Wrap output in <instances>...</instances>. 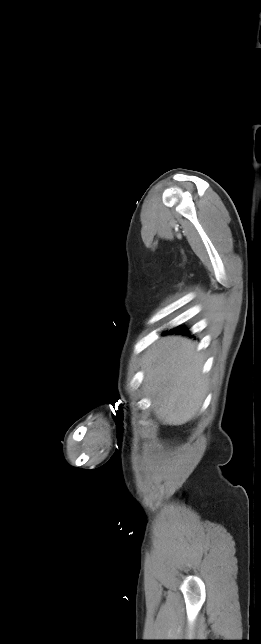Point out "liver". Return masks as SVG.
Returning a JSON list of instances; mask_svg holds the SVG:
<instances>
[{
	"label": "liver",
	"instance_id": "obj_1",
	"mask_svg": "<svg viewBox=\"0 0 261 644\" xmlns=\"http://www.w3.org/2000/svg\"><path fill=\"white\" fill-rule=\"evenodd\" d=\"M203 364L195 343L182 337L161 338L147 350L145 393L164 425L185 424L199 412L208 386Z\"/></svg>",
	"mask_w": 261,
	"mask_h": 644
}]
</instances>
